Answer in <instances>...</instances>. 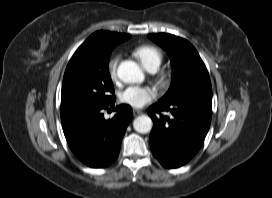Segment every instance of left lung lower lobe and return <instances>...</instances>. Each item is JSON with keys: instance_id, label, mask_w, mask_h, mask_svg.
Wrapping results in <instances>:
<instances>
[{"instance_id": "1", "label": "left lung lower lobe", "mask_w": 272, "mask_h": 198, "mask_svg": "<svg viewBox=\"0 0 272 198\" xmlns=\"http://www.w3.org/2000/svg\"><path fill=\"white\" fill-rule=\"evenodd\" d=\"M148 110L153 120L150 145L155 158L166 168L186 164L204 142L211 122L212 102H158ZM162 111L170 112L171 116L162 115Z\"/></svg>"}]
</instances>
